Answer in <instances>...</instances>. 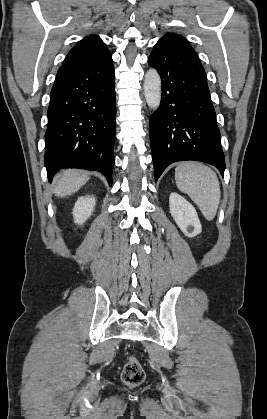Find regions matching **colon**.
<instances>
[{"instance_id":"5ec220e1","label":"colon","mask_w":267,"mask_h":419,"mask_svg":"<svg viewBox=\"0 0 267 419\" xmlns=\"http://www.w3.org/2000/svg\"><path fill=\"white\" fill-rule=\"evenodd\" d=\"M122 381L128 386H138L145 379V371L139 362V360L134 356H129L121 373Z\"/></svg>"}]
</instances>
